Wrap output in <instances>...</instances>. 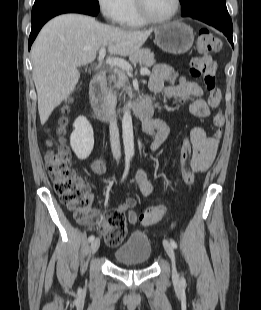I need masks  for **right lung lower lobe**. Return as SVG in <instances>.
<instances>
[{
	"label": "right lung lower lobe",
	"mask_w": 261,
	"mask_h": 310,
	"mask_svg": "<svg viewBox=\"0 0 261 310\" xmlns=\"http://www.w3.org/2000/svg\"><path fill=\"white\" fill-rule=\"evenodd\" d=\"M63 13H81L87 14L91 16H97L98 12L85 6L73 5V4H55L46 6L35 13H32V28L31 34L29 37L28 47L29 50L31 45L36 38L38 32L42 28V26L52 17L57 16Z\"/></svg>",
	"instance_id": "right-lung-lower-lobe-1"
}]
</instances>
